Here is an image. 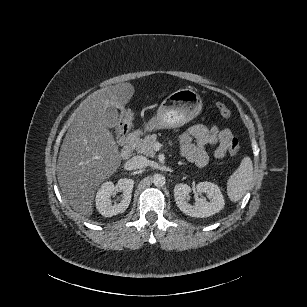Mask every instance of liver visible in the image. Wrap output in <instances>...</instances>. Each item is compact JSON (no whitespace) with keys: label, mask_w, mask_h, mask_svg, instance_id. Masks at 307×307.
<instances>
[{"label":"liver","mask_w":307,"mask_h":307,"mask_svg":"<svg viewBox=\"0 0 307 307\" xmlns=\"http://www.w3.org/2000/svg\"><path fill=\"white\" fill-rule=\"evenodd\" d=\"M134 93L129 82L95 91L80 104L63 140L58 182L69 205L83 216L92 214L95 191L121 164L118 145L108 128L119 124L117 109Z\"/></svg>","instance_id":"liver-1"}]
</instances>
